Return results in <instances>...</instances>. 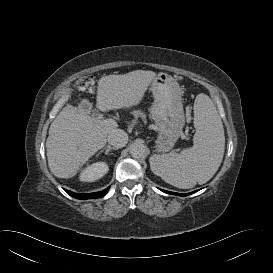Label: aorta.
<instances>
[{
  "instance_id": "1",
  "label": "aorta",
  "mask_w": 273,
  "mask_h": 273,
  "mask_svg": "<svg viewBox=\"0 0 273 273\" xmlns=\"http://www.w3.org/2000/svg\"><path fill=\"white\" fill-rule=\"evenodd\" d=\"M147 153V148L143 143L134 142L130 146V154L133 158H144Z\"/></svg>"
}]
</instances>
